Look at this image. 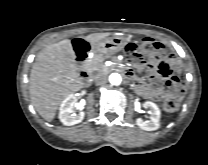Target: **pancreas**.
<instances>
[{
  "instance_id": "obj_1",
  "label": "pancreas",
  "mask_w": 208,
  "mask_h": 165,
  "mask_svg": "<svg viewBox=\"0 0 208 165\" xmlns=\"http://www.w3.org/2000/svg\"><path fill=\"white\" fill-rule=\"evenodd\" d=\"M105 58L106 56L103 54L94 55L90 62L92 71H96L97 73L106 72L108 68L104 65Z\"/></svg>"
}]
</instances>
